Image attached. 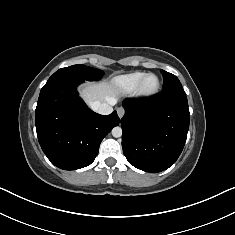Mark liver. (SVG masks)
<instances>
[{"label": "liver", "instance_id": "6515ba94", "mask_svg": "<svg viewBox=\"0 0 235 235\" xmlns=\"http://www.w3.org/2000/svg\"><path fill=\"white\" fill-rule=\"evenodd\" d=\"M80 96L91 105L93 102L109 103L114 105L117 101V91L113 84L106 81L99 83H89L79 89Z\"/></svg>", "mask_w": 235, "mask_h": 235}]
</instances>
